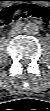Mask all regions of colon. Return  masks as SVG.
Masks as SVG:
<instances>
[{
  "mask_svg": "<svg viewBox=\"0 0 50 111\" xmlns=\"http://www.w3.org/2000/svg\"><path fill=\"white\" fill-rule=\"evenodd\" d=\"M36 18L48 22L50 20V10L46 6L23 2L2 9L0 21L2 25H8L14 20L21 18Z\"/></svg>",
  "mask_w": 50,
  "mask_h": 111,
  "instance_id": "1",
  "label": "colon"
}]
</instances>
